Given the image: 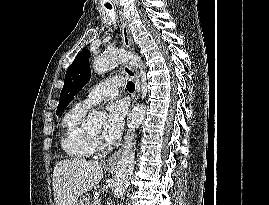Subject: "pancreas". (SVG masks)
Wrapping results in <instances>:
<instances>
[{"label": "pancreas", "instance_id": "cf45deb5", "mask_svg": "<svg viewBox=\"0 0 269 205\" xmlns=\"http://www.w3.org/2000/svg\"><path fill=\"white\" fill-rule=\"evenodd\" d=\"M92 205H101V200L98 197H94Z\"/></svg>", "mask_w": 269, "mask_h": 205}]
</instances>
